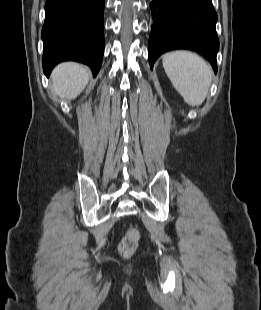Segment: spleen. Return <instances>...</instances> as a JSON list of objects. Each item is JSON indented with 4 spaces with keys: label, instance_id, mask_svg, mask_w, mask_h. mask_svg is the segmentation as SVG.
<instances>
[{
    "label": "spleen",
    "instance_id": "obj_1",
    "mask_svg": "<svg viewBox=\"0 0 261 310\" xmlns=\"http://www.w3.org/2000/svg\"><path fill=\"white\" fill-rule=\"evenodd\" d=\"M164 70L173 87L190 106L203 103L212 81V69L199 55L189 51L166 53Z\"/></svg>",
    "mask_w": 261,
    "mask_h": 310
}]
</instances>
